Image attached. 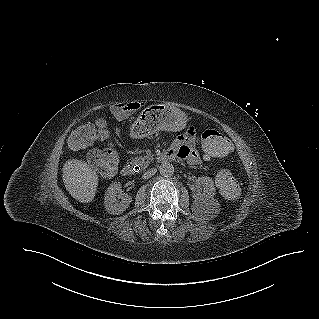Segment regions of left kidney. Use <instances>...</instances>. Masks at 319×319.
Wrapping results in <instances>:
<instances>
[{"instance_id": "left-kidney-1", "label": "left kidney", "mask_w": 319, "mask_h": 319, "mask_svg": "<svg viewBox=\"0 0 319 319\" xmlns=\"http://www.w3.org/2000/svg\"><path fill=\"white\" fill-rule=\"evenodd\" d=\"M203 185V191H200L199 186ZM215 188L213 180L210 177H199L195 182V187L193 190V198L195 204L203 208V210L208 211L210 207L214 206L216 208L215 213L219 211V204L214 199Z\"/></svg>"}]
</instances>
